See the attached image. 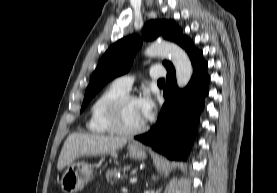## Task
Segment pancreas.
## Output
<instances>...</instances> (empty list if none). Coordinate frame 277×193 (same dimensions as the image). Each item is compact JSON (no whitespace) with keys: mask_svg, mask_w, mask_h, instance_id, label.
<instances>
[{"mask_svg":"<svg viewBox=\"0 0 277 193\" xmlns=\"http://www.w3.org/2000/svg\"><path fill=\"white\" fill-rule=\"evenodd\" d=\"M124 176L121 175L120 169H111L106 172V179L111 181V184L117 183Z\"/></svg>","mask_w":277,"mask_h":193,"instance_id":"pancreas-1","label":"pancreas"}]
</instances>
